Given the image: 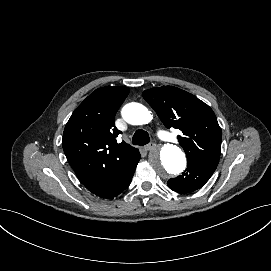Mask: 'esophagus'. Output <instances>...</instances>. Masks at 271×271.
<instances>
[{
	"mask_svg": "<svg viewBox=\"0 0 271 271\" xmlns=\"http://www.w3.org/2000/svg\"><path fill=\"white\" fill-rule=\"evenodd\" d=\"M145 150L147 151H151V150H154L156 148V144L155 143H149L148 145H146L145 147Z\"/></svg>",
	"mask_w": 271,
	"mask_h": 271,
	"instance_id": "34e87169",
	"label": "esophagus"
}]
</instances>
